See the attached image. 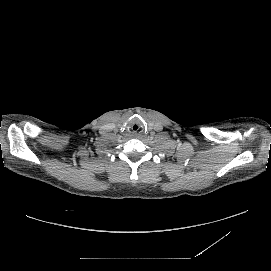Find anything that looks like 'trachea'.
<instances>
[{
	"label": "trachea",
	"mask_w": 271,
	"mask_h": 271,
	"mask_svg": "<svg viewBox=\"0 0 271 271\" xmlns=\"http://www.w3.org/2000/svg\"><path fill=\"white\" fill-rule=\"evenodd\" d=\"M129 128L132 131L139 130L141 128V121L139 119H132Z\"/></svg>",
	"instance_id": "1"
}]
</instances>
